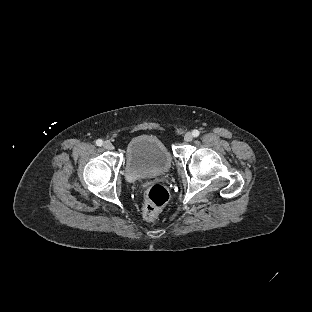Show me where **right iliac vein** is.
I'll list each match as a JSON object with an SVG mask.
<instances>
[{"label":"right iliac vein","instance_id":"right-iliac-vein-1","mask_svg":"<svg viewBox=\"0 0 312 312\" xmlns=\"http://www.w3.org/2000/svg\"><path fill=\"white\" fill-rule=\"evenodd\" d=\"M103 147L107 150H111V149H113V144L109 141H105L103 144Z\"/></svg>","mask_w":312,"mask_h":312}]
</instances>
